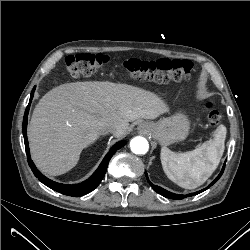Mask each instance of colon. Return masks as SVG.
Segmentation results:
<instances>
[{"instance_id":"obj_1","label":"colon","mask_w":250,"mask_h":250,"mask_svg":"<svg viewBox=\"0 0 250 250\" xmlns=\"http://www.w3.org/2000/svg\"><path fill=\"white\" fill-rule=\"evenodd\" d=\"M110 63V58L103 54L79 53L71 55L66 60L67 73L74 77H90ZM126 72L141 81L168 83L185 81L191 78L193 64L188 60H171L167 58L156 61H141L134 58L123 62ZM208 123L216 127L220 124L221 116L217 110L210 109Z\"/></svg>"}]
</instances>
